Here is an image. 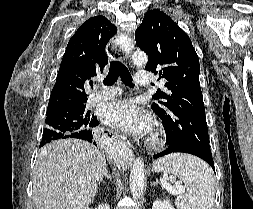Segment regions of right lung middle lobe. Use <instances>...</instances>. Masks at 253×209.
Masks as SVG:
<instances>
[{"label": "right lung middle lobe", "instance_id": "right-lung-middle-lobe-1", "mask_svg": "<svg viewBox=\"0 0 253 209\" xmlns=\"http://www.w3.org/2000/svg\"><path fill=\"white\" fill-rule=\"evenodd\" d=\"M46 128L40 145H45L52 140L60 139L56 134L63 135L82 131L93 126L96 117L91 114L85 104L60 107L47 112Z\"/></svg>", "mask_w": 253, "mask_h": 209}]
</instances>
